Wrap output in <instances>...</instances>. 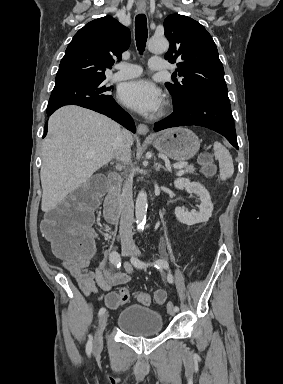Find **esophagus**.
I'll return each mask as SVG.
<instances>
[{
    "instance_id": "34e87169",
    "label": "esophagus",
    "mask_w": 283,
    "mask_h": 384,
    "mask_svg": "<svg viewBox=\"0 0 283 384\" xmlns=\"http://www.w3.org/2000/svg\"><path fill=\"white\" fill-rule=\"evenodd\" d=\"M137 9L140 13H144L146 11V6H137ZM137 132L140 135H148V137H152V135L149 134V128L145 124H139Z\"/></svg>"
}]
</instances>
